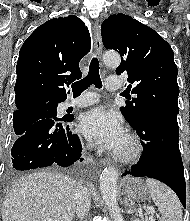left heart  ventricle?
<instances>
[{
  "label": "left heart ventricle",
  "mask_w": 190,
  "mask_h": 221,
  "mask_svg": "<svg viewBox=\"0 0 190 221\" xmlns=\"http://www.w3.org/2000/svg\"><path fill=\"white\" fill-rule=\"evenodd\" d=\"M130 149H131V143L126 137V135H124L120 143L113 149V151L124 154V153H128Z\"/></svg>",
  "instance_id": "obj_1"
}]
</instances>
